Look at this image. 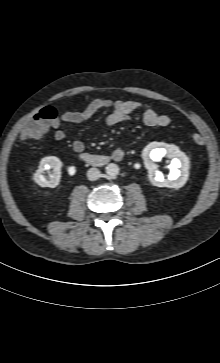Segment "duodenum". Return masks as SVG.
Wrapping results in <instances>:
<instances>
[{
	"instance_id": "obj_1",
	"label": "duodenum",
	"mask_w": 220,
	"mask_h": 363,
	"mask_svg": "<svg viewBox=\"0 0 220 363\" xmlns=\"http://www.w3.org/2000/svg\"><path fill=\"white\" fill-rule=\"evenodd\" d=\"M124 157V151L119 149L116 150L112 155L106 156L101 154L82 153L80 158L95 167H103L110 161H120Z\"/></svg>"
}]
</instances>
